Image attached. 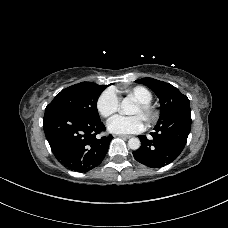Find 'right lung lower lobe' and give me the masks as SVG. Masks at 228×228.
Instances as JSON below:
<instances>
[{
	"label": "right lung lower lobe",
	"mask_w": 228,
	"mask_h": 228,
	"mask_svg": "<svg viewBox=\"0 0 228 228\" xmlns=\"http://www.w3.org/2000/svg\"><path fill=\"white\" fill-rule=\"evenodd\" d=\"M43 128L56 159L77 172L98 166L113 138L98 136L105 130L100 118H86L62 107L45 109Z\"/></svg>",
	"instance_id": "right-lung-lower-lobe-1"
}]
</instances>
